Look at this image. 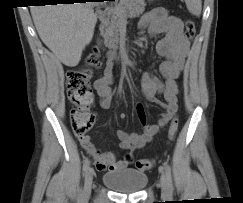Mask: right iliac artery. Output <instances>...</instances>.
Returning a JSON list of instances; mask_svg holds the SVG:
<instances>
[{
    "instance_id": "obj_1",
    "label": "right iliac artery",
    "mask_w": 243,
    "mask_h": 203,
    "mask_svg": "<svg viewBox=\"0 0 243 203\" xmlns=\"http://www.w3.org/2000/svg\"><path fill=\"white\" fill-rule=\"evenodd\" d=\"M89 165H90V161L88 160V158H86L84 160V163H83V175L86 174L88 168H89Z\"/></svg>"
}]
</instances>
